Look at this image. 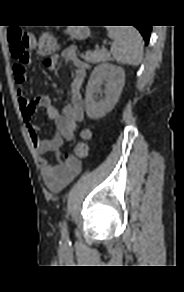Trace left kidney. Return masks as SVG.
<instances>
[{
	"label": "left kidney",
	"mask_w": 184,
	"mask_h": 292,
	"mask_svg": "<svg viewBox=\"0 0 184 292\" xmlns=\"http://www.w3.org/2000/svg\"><path fill=\"white\" fill-rule=\"evenodd\" d=\"M105 82V90L101 86ZM125 83V72L111 63L97 65L90 75L85 93V111L90 119H99L110 112L120 97ZM105 96L98 99L97 95Z\"/></svg>",
	"instance_id": "obj_1"
}]
</instances>
